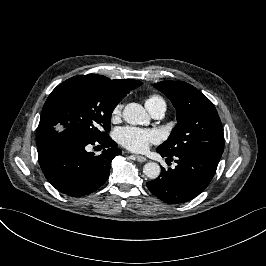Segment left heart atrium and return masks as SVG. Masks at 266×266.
I'll return each mask as SVG.
<instances>
[{"mask_svg": "<svg viewBox=\"0 0 266 266\" xmlns=\"http://www.w3.org/2000/svg\"><path fill=\"white\" fill-rule=\"evenodd\" d=\"M116 139L128 150L144 152L151 144L159 142L160 133L154 129L125 126L116 130Z\"/></svg>", "mask_w": 266, "mask_h": 266, "instance_id": "obj_1", "label": "left heart atrium"}]
</instances>
